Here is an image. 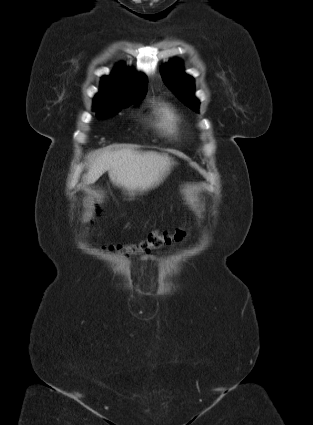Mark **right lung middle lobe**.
<instances>
[{"instance_id": "dd1d6c3e", "label": "right lung middle lobe", "mask_w": 313, "mask_h": 425, "mask_svg": "<svg viewBox=\"0 0 313 425\" xmlns=\"http://www.w3.org/2000/svg\"><path fill=\"white\" fill-rule=\"evenodd\" d=\"M141 100L129 102L122 99H106L94 102L93 110L98 118H106L117 114L122 108L129 106L131 103H138Z\"/></svg>"}]
</instances>
